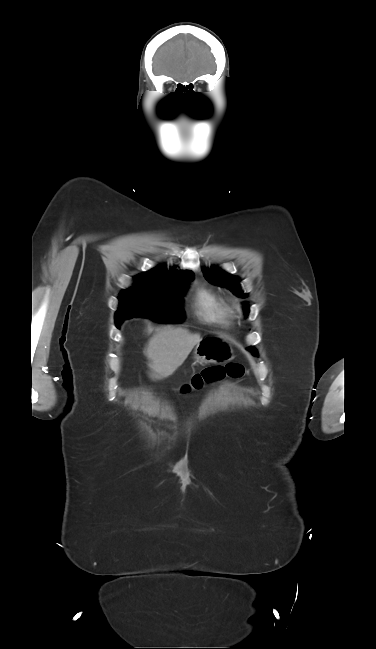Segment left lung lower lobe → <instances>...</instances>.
I'll list each match as a JSON object with an SVG mask.
<instances>
[{
    "label": "left lung lower lobe",
    "instance_id": "0a47b994",
    "mask_svg": "<svg viewBox=\"0 0 376 649\" xmlns=\"http://www.w3.org/2000/svg\"><path fill=\"white\" fill-rule=\"evenodd\" d=\"M250 350H252L254 352V354H257V351H256V349L254 347H250Z\"/></svg>",
    "mask_w": 376,
    "mask_h": 649
}]
</instances>
